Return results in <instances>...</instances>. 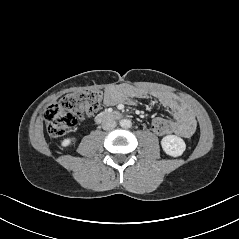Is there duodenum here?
<instances>
[{
  "mask_svg": "<svg viewBox=\"0 0 239 239\" xmlns=\"http://www.w3.org/2000/svg\"><path fill=\"white\" fill-rule=\"evenodd\" d=\"M121 118H123V114L121 112L108 111V112H102L99 115H97L95 118V122L99 124L108 120H119Z\"/></svg>",
  "mask_w": 239,
  "mask_h": 239,
  "instance_id": "duodenum-1",
  "label": "duodenum"
}]
</instances>
